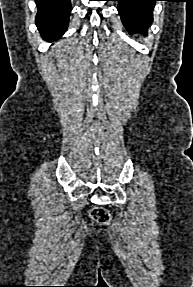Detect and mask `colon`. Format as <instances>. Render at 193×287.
I'll return each mask as SVG.
<instances>
[{"label":"colon","instance_id":"1","mask_svg":"<svg viewBox=\"0 0 193 287\" xmlns=\"http://www.w3.org/2000/svg\"><path fill=\"white\" fill-rule=\"evenodd\" d=\"M91 219L98 224H108L111 215L107 209L101 206H95L90 211Z\"/></svg>","mask_w":193,"mask_h":287}]
</instances>
